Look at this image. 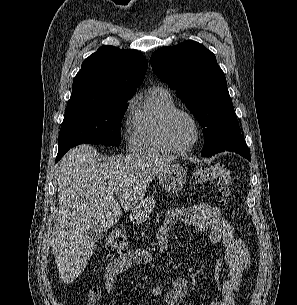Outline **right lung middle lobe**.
Segmentation results:
<instances>
[{"label": "right lung middle lobe", "instance_id": "dd1d6c3e", "mask_svg": "<svg viewBox=\"0 0 297 305\" xmlns=\"http://www.w3.org/2000/svg\"><path fill=\"white\" fill-rule=\"evenodd\" d=\"M131 97L67 105L58 152H67L82 143L118 146L121 143L120 123Z\"/></svg>", "mask_w": 297, "mask_h": 305}]
</instances>
